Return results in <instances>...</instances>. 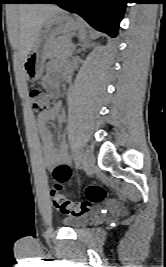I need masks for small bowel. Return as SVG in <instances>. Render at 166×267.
I'll return each mask as SVG.
<instances>
[{
    "instance_id": "small-bowel-1",
    "label": "small bowel",
    "mask_w": 166,
    "mask_h": 267,
    "mask_svg": "<svg viewBox=\"0 0 166 267\" xmlns=\"http://www.w3.org/2000/svg\"><path fill=\"white\" fill-rule=\"evenodd\" d=\"M47 70L48 75L44 79V85L50 88L52 91H56L58 83L54 75L60 70L67 75L68 68L58 63H49ZM59 110L60 104L55 103L51 108L42 113H39L36 116V124L41 137L44 163L46 168L52 171L53 175L59 168H65L71 171L65 139L62 137L59 146L56 147L53 142L52 132L47 127V122L56 117L59 113Z\"/></svg>"
}]
</instances>
